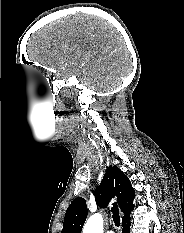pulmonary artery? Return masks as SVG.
<instances>
[{
	"label": "pulmonary artery",
	"mask_w": 184,
	"mask_h": 233,
	"mask_svg": "<svg viewBox=\"0 0 184 233\" xmlns=\"http://www.w3.org/2000/svg\"><path fill=\"white\" fill-rule=\"evenodd\" d=\"M106 233H114V231H112V230H108Z\"/></svg>",
	"instance_id": "1"
}]
</instances>
